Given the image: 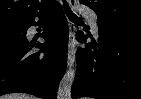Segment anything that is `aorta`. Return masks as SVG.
<instances>
[{"label":"aorta","mask_w":141,"mask_h":99,"mask_svg":"<svg viewBox=\"0 0 141 99\" xmlns=\"http://www.w3.org/2000/svg\"><path fill=\"white\" fill-rule=\"evenodd\" d=\"M75 74L76 69H69L66 71L59 84L57 99H71V89Z\"/></svg>","instance_id":"762f6f07"}]
</instances>
